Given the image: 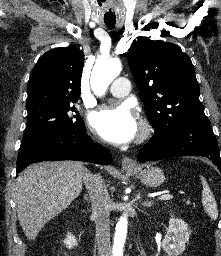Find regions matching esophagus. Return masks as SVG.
<instances>
[{
	"instance_id": "obj_1",
	"label": "esophagus",
	"mask_w": 221,
	"mask_h": 256,
	"mask_svg": "<svg viewBox=\"0 0 221 256\" xmlns=\"http://www.w3.org/2000/svg\"><path fill=\"white\" fill-rule=\"evenodd\" d=\"M122 167L123 168H134V167H136V163L133 159H131L129 157H124L122 159Z\"/></svg>"
}]
</instances>
